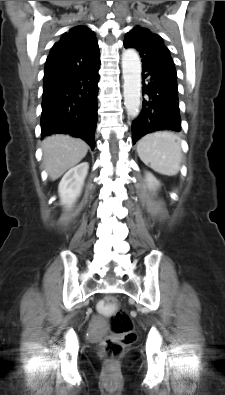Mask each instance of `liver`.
Wrapping results in <instances>:
<instances>
[{
	"label": "liver",
	"mask_w": 225,
	"mask_h": 395,
	"mask_svg": "<svg viewBox=\"0 0 225 395\" xmlns=\"http://www.w3.org/2000/svg\"><path fill=\"white\" fill-rule=\"evenodd\" d=\"M42 152L44 168L54 181L86 156L88 145L79 138L56 134L43 140Z\"/></svg>",
	"instance_id": "obj_1"
}]
</instances>
